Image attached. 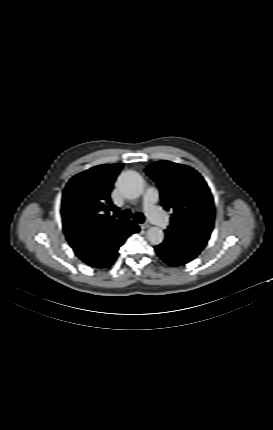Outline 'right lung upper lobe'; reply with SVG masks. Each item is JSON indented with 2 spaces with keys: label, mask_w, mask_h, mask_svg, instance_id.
<instances>
[{
  "label": "right lung upper lobe",
  "mask_w": 273,
  "mask_h": 430,
  "mask_svg": "<svg viewBox=\"0 0 273 430\" xmlns=\"http://www.w3.org/2000/svg\"><path fill=\"white\" fill-rule=\"evenodd\" d=\"M122 168L123 164L92 167L70 179L64 189L61 206L64 232L83 261H87L104 235L123 234L134 224L114 219L118 208L112 203L110 192Z\"/></svg>",
  "instance_id": "right-lung-upper-lobe-1"
}]
</instances>
